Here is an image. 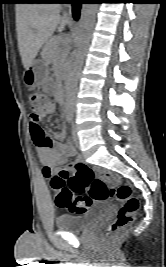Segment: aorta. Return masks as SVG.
<instances>
[{"label": "aorta", "instance_id": "obj_1", "mask_svg": "<svg viewBox=\"0 0 166 267\" xmlns=\"http://www.w3.org/2000/svg\"><path fill=\"white\" fill-rule=\"evenodd\" d=\"M97 7V3H83L82 5L78 29L79 48L75 53V59L72 65V71L69 75L66 90V106L71 110L74 108L78 80L83 66L84 53L91 39Z\"/></svg>", "mask_w": 166, "mask_h": 267}]
</instances>
